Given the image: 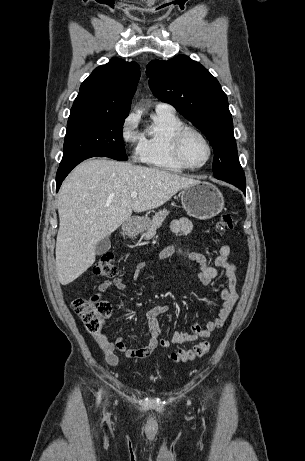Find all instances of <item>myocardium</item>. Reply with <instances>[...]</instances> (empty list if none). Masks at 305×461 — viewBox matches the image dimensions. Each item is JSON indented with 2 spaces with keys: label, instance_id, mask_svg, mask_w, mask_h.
Listing matches in <instances>:
<instances>
[{
  "label": "myocardium",
  "instance_id": "obj_1",
  "mask_svg": "<svg viewBox=\"0 0 305 461\" xmlns=\"http://www.w3.org/2000/svg\"><path fill=\"white\" fill-rule=\"evenodd\" d=\"M188 134H195L197 135L203 142L204 144L206 145L207 147V150H208V155H207V158L206 160L198 165V166H193V165H190L186 159L184 158V155H183V151H182V146H183V141H184V138L186 137V135ZM172 150H173V154H174V157L175 159L186 169H189V170H198V169H201L203 167H205L209 161L211 160L212 158V155H213V148H212V145L210 143V141L208 140V138L205 136L204 133H202L199 129L195 128V127H191V126H182L181 128H179L173 138H172Z\"/></svg>",
  "mask_w": 305,
  "mask_h": 461
}]
</instances>
